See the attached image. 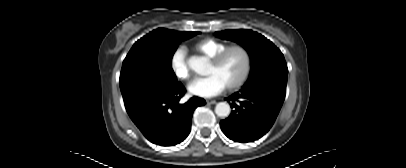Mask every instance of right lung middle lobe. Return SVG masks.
<instances>
[{
	"mask_svg": "<svg viewBox=\"0 0 406 168\" xmlns=\"http://www.w3.org/2000/svg\"><path fill=\"white\" fill-rule=\"evenodd\" d=\"M199 32L179 36L168 32L147 34L135 42L122 64L120 89L127 112L155 98L179 82L171 60L181 40Z\"/></svg>",
	"mask_w": 406,
	"mask_h": 168,
	"instance_id": "obj_1",
	"label": "right lung middle lobe"
}]
</instances>
